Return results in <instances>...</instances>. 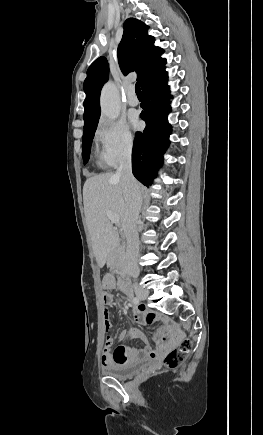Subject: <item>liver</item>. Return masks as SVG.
<instances>
[{"instance_id": "obj_1", "label": "liver", "mask_w": 263, "mask_h": 435, "mask_svg": "<svg viewBox=\"0 0 263 435\" xmlns=\"http://www.w3.org/2000/svg\"><path fill=\"white\" fill-rule=\"evenodd\" d=\"M83 203L93 252L99 267H103L119 242L106 213L117 214L125 230L129 223L121 178L112 172L88 178L83 186Z\"/></svg>"}]
</instances>
